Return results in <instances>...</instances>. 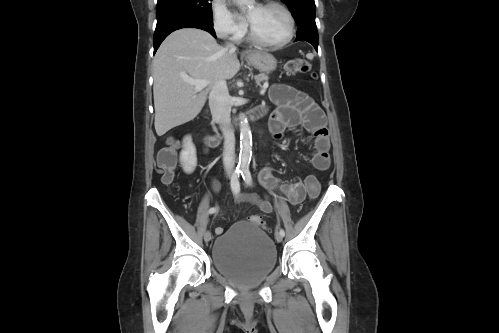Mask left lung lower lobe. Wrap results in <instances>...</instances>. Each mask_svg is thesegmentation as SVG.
Returning <instances> with one entry per match:
<instances>
[{"label": "left lung lower lobe", "instance_id": "left-lung-lower-lobe-1", "mask_svg": "<svg viewBox=\"0 0 499 333\" xmlns=\"http://www.w3.org/2000/svg\"><path fill=\"white\" fill-rule=\"evenodd\" d=\"M297 38L295 41H307L318 50V32L316 24L306 23L298 26Z\"/></svg>", "mask_w": 499, "mask_h": 333}]
</instances>
